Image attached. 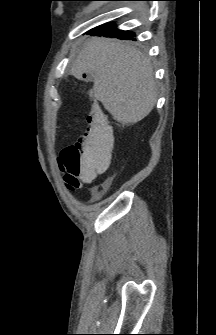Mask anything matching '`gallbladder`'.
<instances>
[{"label": "gallbladder", "instance_id": "obj_1", "mask_svg": "<svg viewBox=\"0 0 216 335\" xmlns=\"http://www.w3.org/2000/svg\"><path fill=\"white\" fill-rule=\"evenodd\" d=\"M92 79H93L92 75L89 74V75L87 76V78H86V81H91Z\"/></svg>", "mask_w": 216, "mask_h": 335}]
</instances>
